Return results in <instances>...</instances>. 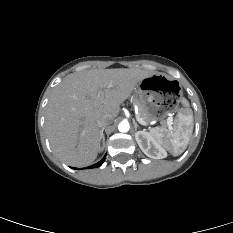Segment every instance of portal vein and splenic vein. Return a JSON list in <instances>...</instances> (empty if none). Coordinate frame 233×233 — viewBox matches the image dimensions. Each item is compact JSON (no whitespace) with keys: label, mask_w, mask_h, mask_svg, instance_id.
<instances>
[{"label":"portal vein and splenic vein","mask_w":233,"mask_h":233,"mask_svg":"<svg viewBox=\"0 0 233 233\" xmlns=\"http://www.w3.org/2000/svg\"><path fill=\"white\" fill-rule=\"evenodd\" d=\"M136 120H137L140 124L146 125V122L143 121L139 116H136ZM167 125H168L169 127H171V125H172V118H168V120H167Z\"/></svg>","instance_id":"portal-vein-and-splenic-vein-1"}]
</instances>
